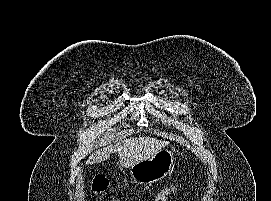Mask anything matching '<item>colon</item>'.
I'll list each match as a JSON object with an SVG mask.
<instances>
[{
	"label": "colon",
	"mask_w": 271,
	"mask_h": 201,
	"mask_svg": "<svg viewBox=\"0 0 271 201\" xmlns=\"http://www.w3.org/2000/svg\"><path fill=\"white\" fill-rule=\"evenodd\" d=\"M108 183L104 178L95 179L92 185V190L96 193H102L106 190ZM173 187H168L159 192L155 201H168L170 194L173 192Z\"/></svg>",
	"instance_id": "colon-1"
}]
</instances>
